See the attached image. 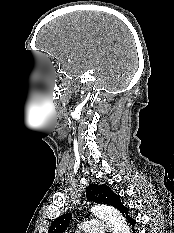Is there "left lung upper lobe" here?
<instances>
[{
    "label": "left lung upper lobe",
    "instance_id": "1",
    "mask_svg": "<svg viewBox=\"0 0 174 233\" xmlns=\"http://www.w3.org/2000/svg\"><path fill=\"white\" fill-rule=\"evenodd\" d=\"M86 197L88 201H94L99 204H107L117 208L122 213H125L127 208L121 203L120 196L116 195L107 185L90 184L86 188ZM72 214H64L55 219L48 233H64L71 221Z\"/></svg>",
    "mask_w": 174,
    "mask_h": 233
}]
</instances>
